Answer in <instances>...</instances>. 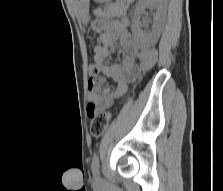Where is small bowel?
<instances>
[{"instance_id":"obj_1","label":"small bowel","mask_w":223,"mask_h":191,"mask_svg":"<svg viewBox=\"0 0 223 191\" xmlns=\"http://www.w3.org/2000/svg\"><path fill=\"white\" fill-rule=\"evenodd\" d=\"M118 6H109L96 11L98 16L92 23V31L100 33L101 46L95 47L94 61L99 66L101 73L117 83L115 90L109 87L101 89L105 78L99 76L91 78L88 84L90 91L88 113L91 107L95 109L110 106L113 100L123 95L128 89L129 81L133 80L140 72L151 69L157 62L158 52L155 48H141L127 29L128 21L116 20L112 16L119 13ZM119 47L125 52L120 63L107 65L105 63L109 50Z\"/></svg>"}]
</instances>
